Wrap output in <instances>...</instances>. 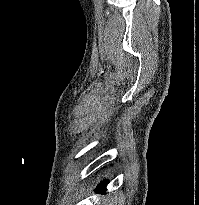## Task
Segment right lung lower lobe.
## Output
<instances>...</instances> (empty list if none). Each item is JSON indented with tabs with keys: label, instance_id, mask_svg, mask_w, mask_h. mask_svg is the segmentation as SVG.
Instances as JSON below:
<instances>
[{
	"label": "right lung lower lobe",
	"instance_id": "right-lung-lower-lobe-1",
	"mask_svg": "<svg viewBox=\"0 0 199 205\" xmlns=\"http://www.w3.org/2000/svg\"><path fill=\"white\" fill-rule=\"evenodd\" d=\"M105 186H106L105 182L100 183V185L96 188V191L98 193H105V191H106Z\"/></svg>",
	"mask_w": 199,
	"mask_h": 205
}]
</instances>
